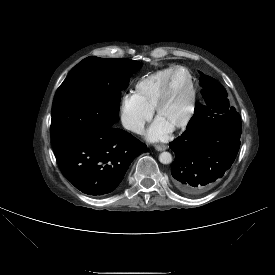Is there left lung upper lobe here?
<instances>
[{
    "label": "left lung upper lobe",
    "instance_id": "obj_1",
    "mask_svg": "<svg viewBox=\"0 0 275 275\" xmlns=\"http://www.w3.org/2000/svg\"><path fill=\"white\" fill-rule=\"evenodd\" d=\"M200 81L205 104L196 106L195 114L189 121L185 132L205 125L217 124L233 132L242 133L240 115L234 107L229 106L224 87L204 74Z\"/></svg>",
    "mask_w": 275,
    "mask_h": 275
}]
</instances>
